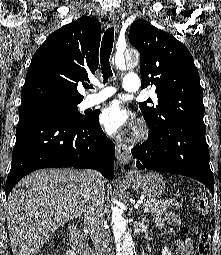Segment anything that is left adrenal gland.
Returning a JSON list of instances; mask_svg holds the SVG:
<instances>
[{"label": "left adrenal gland", "mask_w": 221, "mask_h": 255, "mask_svg": "<svg viewBox=\"0 0 221 255\" xmlns=\"http://www.w3.org/2000/svg\"><path fill=\"white\" fill-rule=\"evenodd\" d=\"M142 221H147V220H146V216H144V217L142 218Z\"/></svg>", "instance_id": "obj_1"}]
</instances>
